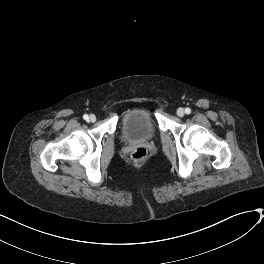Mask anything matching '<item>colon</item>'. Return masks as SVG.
<instances>
[{
    "label": "colon",
    "mask_w": 264,
    "mask_h": 264,
    "mask_svg": "<svg viewBox=\"0 0 264 264\" xmlns=\"http://www.w3.org/2000/svg\"><path fill=\"white\" fill-rule=\"evenodd\" d=\"M146 156H147V151H146V149L144 147H138L134 151V153L132 155L134 161H136V162H142V161H144L145 158H146Z\"/></svg>",
    "instance_id": "5ec220e1"
}]
</instances>
